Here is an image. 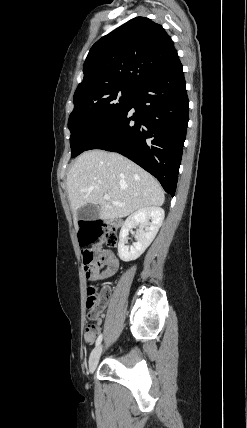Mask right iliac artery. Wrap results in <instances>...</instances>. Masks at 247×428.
Instances as JSON below:
<instances>
[{"instance_id":"right-iliac-artery-1","label":"right iliac artery","mask_w":247,"mask_h":428,"mask_svg":"<svg viewBox=\"0 0 247 428\" xmlns=\"http://www.w3.org/2000/svg\"><path fill=\"white\" fill-rule=\"evenodd\" d=\"M102 341V334H100L96 340V346H98Z\"/></svg>"}]
</instances>
